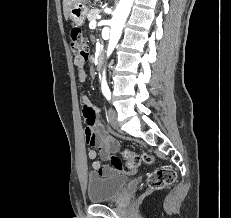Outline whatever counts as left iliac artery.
Listing matches in <instances>:
<instances>
[{"label": "left iliac artery", "mask_w": 231, "mask_h": 218, "mask_svg": "<svg viewBox=\"0 0 231 218\" xmlns=\"http://www.w3.org/2000/svg\"><path fill=\"white\" fill-rule=\"evenodd\" d=\"M104 95L107 98V100H110V98H111V92L109 90L104 91Z\"/></svg>", "instance_id": "left-iliac-artery-1"}]
</instances>
